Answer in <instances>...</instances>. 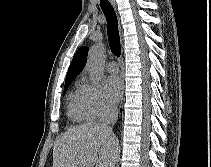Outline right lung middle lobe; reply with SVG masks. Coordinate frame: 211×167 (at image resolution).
Returning <instances> with one entry per match:
<instances>
[{"label": "right lung middle lobe", "mask_w": 211, "mask_h": 167, "mask_svg": "<svg viewBox=\"0 0 211 167\" xmlns=\"http://www.w3.org/2000/svg\"><path fill=\"white\" fill-rule=\"evenodd\" d=\"M71 82H72V81L65 82V85H64V93H65L66 90L68 89V87H69V85H70Z\"/></svg>", "instance_id": "obj_1"}]
</instances>
